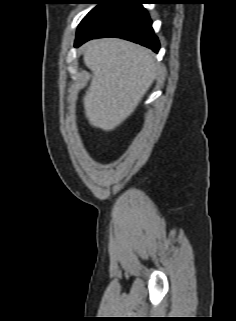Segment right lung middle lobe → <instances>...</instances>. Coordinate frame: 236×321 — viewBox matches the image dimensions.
Segmentation results:
<instances>
[{
	"mask_svg": "<svg viewBox=\"0 0 236 321\" xmlns=\"http://www.w3.org/2000/svg\"><path fill=\"white\" fill-rule=\"evenodd\" d=\"M111 0H90L89 3L91 4H98L95 8H93L81 21V23L78 26L77 32L88 22L90 18H92L98 10H100L106 3H108Z\"/></svg>",
	"mask_w": 236,
	"mask_h": 321,
	"instance_id": "dd1d6c3e",
	"label": "right lung middle lobe"
}]
</instances>
